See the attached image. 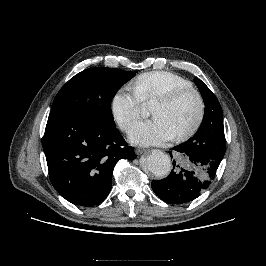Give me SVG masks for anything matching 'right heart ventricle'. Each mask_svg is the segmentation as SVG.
Segmentation results:
<instances>
[{
	"instance_id": "e07e8e85",
	"label": "right heart ventricle",
	"mask_w": 266,
	"mask_h": 266,
	"mask_svg": "<svg viewBox=\"0 0 266 266\" xmlns=\"http://www.w3.org/2000/svg\"><path fill=\"white\" fill-rule=\"evenodd\" d=\"M132 85L143 103H153L171 91L191 87L188 80L170 71L142 73L136 77Z\"/></svg>"
}]
</instances>
